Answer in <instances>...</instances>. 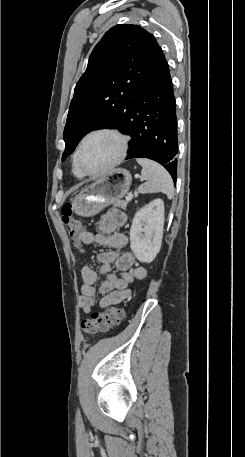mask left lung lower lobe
<instances>
[{"label":"left lung lower lobe","mask_w":245,"mask_h":457,"mask_svg":"<svg viewBox=\"0 0 245 457\" xmlns=\"http://www.w3.org/2000/svg\"><path fill=\"white\" fill-rule=\"evenodd\" d=\"M145 97L124 124L114 128L131 136L126 159L148 158L163 165L176 183L178 125L169 65L161 49L145 85Z\"/></svg>","instance_id":"0a47b994"}]
</instances>
